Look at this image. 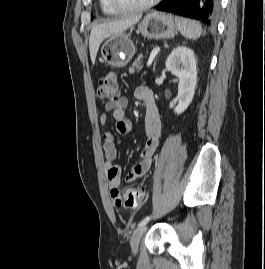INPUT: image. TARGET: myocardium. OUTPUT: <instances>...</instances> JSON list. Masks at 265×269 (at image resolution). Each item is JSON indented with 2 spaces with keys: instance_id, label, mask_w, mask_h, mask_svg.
I'll return each instance as SVG.
<instances>
[{
  "instance_id": "1",
  "label": "myocardium",
  "mask_w": 265,
  "mask_h": 269,
  "mask_svg": "<svg viewBox=\"0 0 265 269\" xmlns=\"http://www.w3.org/2000/svg\"><path fill=\"white\" fill-rule=\"evenodd\" d=\"M160 1L161 0H149L143 4L136 5V6H124L118 0H110V3L118 12L131 13V12H138V11L147 10V9L155 6Z\"/></svg>"
}]
</instances>
